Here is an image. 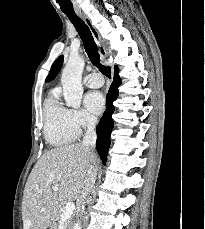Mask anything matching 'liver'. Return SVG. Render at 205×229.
I'll use <instances>...</instances> for the list:
<instances>
[{"instance_id": "6515ba94", "label": "liver", "mask_w": 205, "mask_h": 229, "mask_svg": "<svg viewBox=\"0 0 205 229\" xmlns=\"http://www.w3.org/2000/svg\"><path fill=\"white\" fill-rule=\"evenodd\" d=\"M98 159L83 144L60 146L45 152L32 169L24 189V229H47L61 205L80 199ZM53 186L58 190L54 191Z\"/></svg>"}]
</instances>
